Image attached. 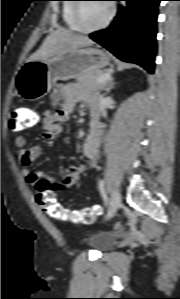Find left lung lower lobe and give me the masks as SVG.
<instances>
[{
  "instance_id": "1",
  "label": "left lung lower lobe",
  "mask_w": 180,
  "mask_h": 299,
  "mask_svg": "<svg viewBox=\"0 0 180 299\" xmlns=\"http://www.w3.org/2000/svg\"><path fill=\"white\" fill-rule=\"evenodd\" d=\"M126 1L112 24L89 35L122 61L136 63L153 73L156 55V21L161 0Z\"/></svg>"
}]
</instances>
